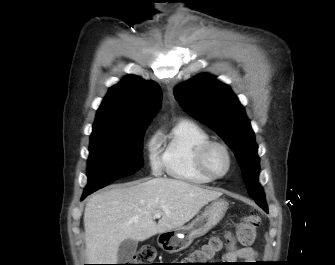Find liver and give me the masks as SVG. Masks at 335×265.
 <instances>
[{
    "label": "liver",
    "instance_id": "liver-1",
    "mask_svg": "<svg viewBox=\"0 0 335 265\" xmlns=\"http://www.w3.org/2000/svg\"><path fill=\"white\" fill-rule=\"evenodd\" d=\"M221 195L166 178L136 181L94 194L87 201L83 218L87 261L116 264L124 240L144 241L181 228ZM157 212L161 213L158 223L154 218Z\"/></svg>",
    "mask_w": 335,
    "mask_h": 265
}]
</instances>
